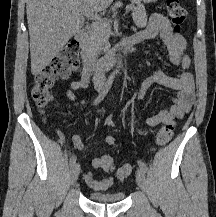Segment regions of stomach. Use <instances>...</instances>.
<instances>
[{"instance_id":"obj_1","label":"stomach","mask_w":216,"mask_h":217,"mask_svg":"<svg viewBox=\"0 0 216 217\" xmlns=\"http://www.w3.org/2000/svg\"><path fill=\"white\" fill-rule=\"evenodd\" d=\"M139 1L144 2V3H154L157 0H139Z\"/></svg>"}]
</instances>
